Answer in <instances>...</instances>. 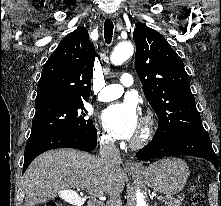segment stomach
I'll return each mask as SVG.
<instances>
[{
  "mask_svg": "<svg viewBox=\"0 0 221 206\" xmlns=\"http://www.w3.org/2000/svg\"><path fill=\"white\" fill-rule=\"evenodd\" d=\"M142 175L150 188L172 196L183 189L189 176V169L179 158H165L152 163Z\"/></svg>",
  "mask_w": 221,
  "mask_h": 206,
  "instance_id": "obj_1",
  "label": "stomach"
}]
</instances>
